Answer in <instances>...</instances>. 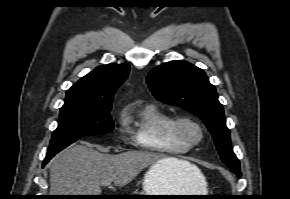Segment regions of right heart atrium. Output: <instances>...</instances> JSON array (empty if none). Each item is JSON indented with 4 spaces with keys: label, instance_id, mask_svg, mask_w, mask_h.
<instances>
[{
    "label": "right heart atrium",
    "instance_id": "right-heart-atrium-1",
    "mask_svg": "<svg viewBox=\"0 0 290 199\" xmlns=\"http://www.w3.org/2000/svg\"><path fill=\"white\" fill-rule=\"evenodd\" d=\"M120 125H121V127L124 126V119L123 118L120 119Z\"/></svg>",
    "mask_w": 290,
    "mask_h": 199
}]
</instances>
